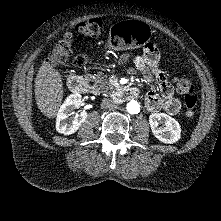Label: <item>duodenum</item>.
Instances as JSON below:
<instances>
[{
    "label": "duodenum",
    "instance_id": "obj_1",
    "mask_svg": "<svg viewBox=\"0 0 221 221\" xmlns=\"http://www.w3.org/2000/svg\"><path fill=\"white\" fill-rule=\"evenodd\" d=\"M67 86L70 91L75 93H84L88 90V82L80 74H72L68 78ZM139 91L136 87H123L119 90L118 99L128 101L137 98Z\"/></svg>",
    "mask_w": 221,
    "mask_h": 221
}]
</instances>
